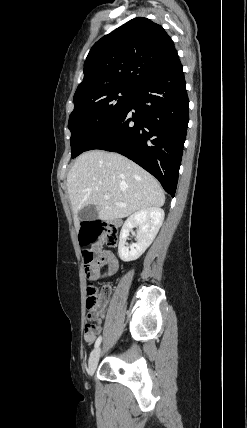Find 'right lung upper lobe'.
<instances>
[{
  "instance_id": "cb5924a9",
  "label": "right lung upper lobe",
  "mask_w": 247,
  "mask_h": 428,
  "mask_svg": "<svg viewBox=\"0 0 247 428\" xmlns=\"http://www.w3.org/2000/svg\"><path fill=\"white\" fill-rule=\"evenodd\" d=\"M178 58L172 39L161 25L134 18L92 46L74 98L116 86L138 89Z\"/></svg>"
}]
</instances>
